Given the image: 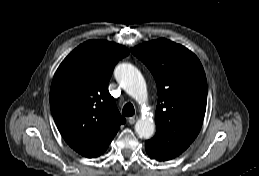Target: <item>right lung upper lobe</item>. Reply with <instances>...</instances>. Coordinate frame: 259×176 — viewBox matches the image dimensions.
I'll return each instance as SVG.
<instances>
[{"instance_id":"1","label":"right lung upper lobe","mask_w":259,"mask_h":176,"mask_svg":"<svg viewBox=\"0 0 259 176\" xmlns=\"http://www.w3.org/2000/svg\"><path fill=\"white\" fill-rule=\"evenodd\" d=\"M129 54L125 46L89 40L74 49L57 69L50 107L57 128L79 154L101 155L125 123L109 94L114 66Z\"/></svg>"}]
</instances>
